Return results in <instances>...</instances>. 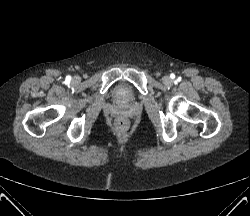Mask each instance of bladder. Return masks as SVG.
Returning a JSON list of instances; mask_svg holds the SVG:
<instances>
[{
	"instance_id": "obj_1",
	"label": "bladder",
	"mask_w": 250,
	"mask_h": 216,
	"mask_svg": "<svg viewBox=\"0 0 250 216\" xmlns=\"http://www.w3.org/2000/svg\"><path fill=\"white\" fill-rule=\"evenodd\" d=\"M117 95L121 99H124L127 97V93H126L125 89H123L122 87L118 88Z\"/></svg>"
}]
</instances>
